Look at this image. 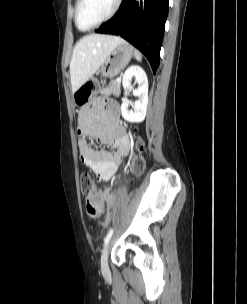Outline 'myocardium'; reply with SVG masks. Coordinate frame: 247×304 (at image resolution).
<instances>
[{
	"label": "myocardium",
	"instance_id": "1",
	"mask_svg": "<svg viewBox=\"0 0 247 304\" xmlns=\"http://www.w3.org/2000/svg\"><path fill=\"white\" fill-rule=\"evenodd\" d=\"M82 3H83V0H77V4H76V8H75V23L79 30L88 31V30H92V29L99 27L100 25L104 24L105 22H107L111 18H113L114 15L118 12V10L121 6L122 0H115V4H114V7L111 10V12L106 17H104L101 21H99L95 25L88 27V28H82L79 25V11H80V7H81Z\"/></svg>",
	"mask_w": 247,
	"mask_h": 304
}]
</instances>
